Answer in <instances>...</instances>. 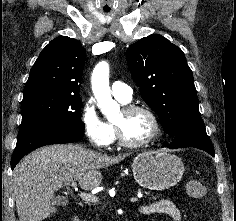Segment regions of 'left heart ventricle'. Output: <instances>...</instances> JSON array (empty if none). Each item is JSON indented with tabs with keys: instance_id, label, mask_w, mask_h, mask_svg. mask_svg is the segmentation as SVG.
<instances>
[{
	"instance_id": "1",
	"label": "left heart ventricle",
	"mask_w": 236,
	"mask_h": 221,
	"mask_svg": "<svg viewBox=\"0 0 236 221\" xmlns=\"http://www.w3.org/2000/svg\"><path fill=\"white\" fill-rule=\"evenodd\" d=\"M115 121L121 124L125 138L131 142L144 141L153 133V122L143 112H136L125 116L121 111Z\"/></svg>"
}]
</instances>
